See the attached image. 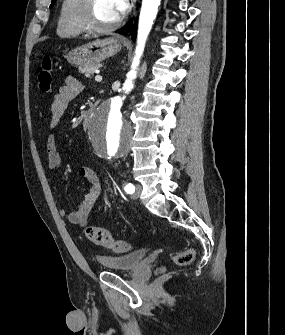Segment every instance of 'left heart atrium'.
Segmentation results:
<instances>
[{"mask_svg": "<svg viewBox=\"0 0 285 335\" xmlns=\"http://www.w3.org/2000/svg\"><path fill=\"white\" fill-rule=\"evenodd\" d=\"M116 11L118 19L122 18L127 11V1H117Z\"/></svg>", "mask_w": 285, "mask_h": 335, "instance_id": "39dd6f15", "label": "left heart atrium"}]
</instances>
